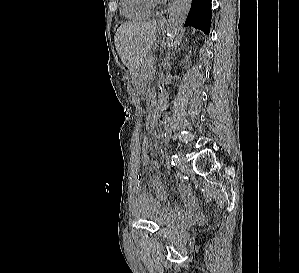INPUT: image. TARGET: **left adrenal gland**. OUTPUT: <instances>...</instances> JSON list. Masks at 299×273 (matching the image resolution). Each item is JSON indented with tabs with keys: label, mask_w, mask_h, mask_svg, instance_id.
Instances as JSON below:
<instances>
[{
	"label": "left adrenal gland",
	"mask_w": 299,
	"mask_h": 273,
	"mask_svg": "<svg viewBox=\"0 0 299 273\" xmlns=\"http://www.w3.org/2000/svg\"><path fill=\"white\" fill-rule=\"evenodd\" d=\"M168 59V58H167ZM167 59L165 60L164 62V65H166L167 67L169 66L168 62H167Z\"/></svg>",
	"instance_id": "1"
}]
</instances>
